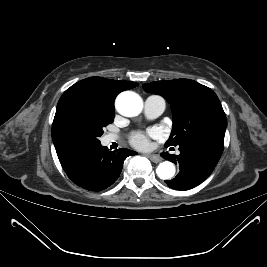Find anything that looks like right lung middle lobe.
I'll list each match as a JSON object with an SVG mask.
<instances>
[{
    "mask_svg": "<svg viewBox=\"0 0 267 267\" xmlns=\"http://www.w3.org/2000/svg\"><path fill=\"white\" fill-rule=\"evenodd\" d=\"M115 109L90 94H76L57 105L52 139L57 152L99 144L103 128L114 120Z\"/></svg>",
    "mask_w": 267,
    "mask_h": 267,
    "instance_id": "dd1d6c3e",
    "label": "right lung middle lobe"
}]
</instances>
